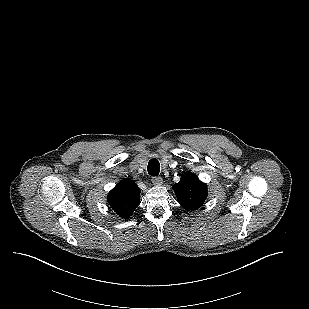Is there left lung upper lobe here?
Returning a JSON list of instances; mask_svg holds the SVG:
<instances>
[{
  "instance_id": "5c2ea615",
  "label": "left lung upper lobe",
  "mask_w": 309,
  "mask_h": 309,
  "mask_svg": "<svg viewBox=\"0 0 309 309\" xmlns=\"http://www.w3.org/2000/svg\"><path fill=\"white\" fill-rule=\"evenodd\" d=\"M178 202L186 210H196L207 197V186L190 172L182 174L180 182L173 185Z\"/></svg>"
}]
</instances>
